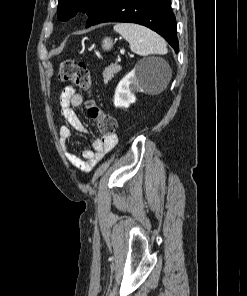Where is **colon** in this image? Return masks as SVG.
Masks as SVG:
<instances>
[{"label":"colon","mask_w":247,"mask_h":296,"mask_svg":"<svg viewBox=\"0 0 247 296\" xmlns=\"http://www.w3.org/2000/svg\"><path fill=\"white\" fill-rule=\"evenodd\" d=\"M59 78L61 81L69 82L88 93L89 98L86 108L89 117L96 122L97 128L103 137L114 135L117 127L116 121L94 100L92 96L91 74L88 67L82 62L65 60L60 64Z\"/></svg>","instance_id":"obj_1"}]
</instances>
